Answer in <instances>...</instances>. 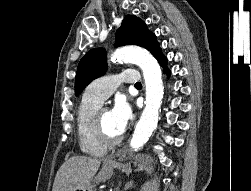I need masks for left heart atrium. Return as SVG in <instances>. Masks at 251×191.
I'll use <instances>...</instances> for the list:
<instances>
[{
	"label": "left heart atrium",
	"instance_id": "obj_1",
	"mask_svg": "<svg viewBox=\"0 0 251 191\" xmlns=\"http://www.w3.org/2000/svg\"><path fill=\"white\" fill-rule=\"evenodd\" d=\"M109 115L113 130L117 134H121L125 131L131 119V107L127 102L123 100H118L115 102L114 106L109 111Z\"/></svg>",
	"mask_w": 251,
	"mask_h": 191
}]
</instances>
